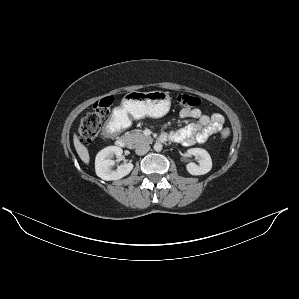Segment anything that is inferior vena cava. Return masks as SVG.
Instances as JSON below:
<instances>
[{
    "label": "inferior vena cava",
    "instance_id": "1",
    "mask_svg": "<svg viewBox=\"0 0 299 299\" xmlns=\"http://www.w3.org/2000/svg\"><path fill=\"white\" fill-rule=\"evenodd\" d=\"M150 150V145L149 144H139L137 145L135 149V153L137 155H144Z\"/></svg>",
    "mask_w": 299,
    "mask_h": 299
}]
</instances>
